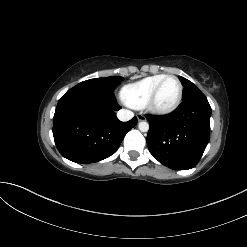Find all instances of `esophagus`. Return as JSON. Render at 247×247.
<instances>
[{
  "instance_id": "1",
  "label": "esophagus",
  "mask_w": 247,
  "mask_h": 247,
  "mask_svg": "<svg viewBox=\"0 0 247 247\" xmlns=\"http://www.w3.org/2000/svg\"><path fill=\"white\" fill-rule=\"evenodd\" d=\"M137 119H138V121H144V120H146L145 116L142 115V114H138L137 115Z\"/></svg>"
}]
</instances>
